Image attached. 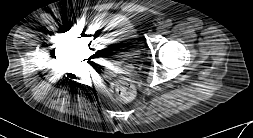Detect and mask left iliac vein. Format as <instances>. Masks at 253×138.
Instances as JSON below:
<instances>
[{
  "instance_id": "left-iliac-vein-1",
  "label": "left iliac vein",
  "mask_w": 253,
  "mask_h": 138,
  "mask_svg": "<svg viewBox=\"0 0 253 138\" xmlns=\"http://www.w3.org/2000/svg\"><path fill=\"white\" fill-rule=\"evenodd\" d=\"M162 29H163V27H162V26H159V27H158V30H162Z\"/></svg>"
}]
</instances>
